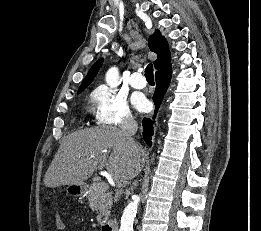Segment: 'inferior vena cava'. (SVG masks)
<instances>
[{"label": "inferior vena cava", "mask_w": 261, "mask_h": 231, "mask_svg": "<svg viewBox=\"0 0 261 231\" xmlns=\"http://www.w3.org/2000/svg\"><path fill=\"white\" fill-rule=\"evenodd\" d=\"M120 129L124 140L134 149L138 148V144L133 139V135L138 129V125L132 116H126L121 124Z\"/></svg>", "instance_id": "1"}]
</instances>
